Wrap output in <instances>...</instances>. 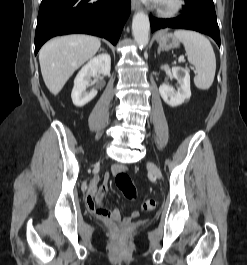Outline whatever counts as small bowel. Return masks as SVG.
Segmentation results:
<instances>
[{"label":"small bowel","mask_w":247,"mask_h":265,"mask_svg":"<svg viewBox=\"0 0 247 265\" xmlns=\"http://www.w3.org/2000/svg\"><path fill=\"white\" fill-rule=\"evenodd\" d=\"M124 170L123 166L115 165L112 168L113 173H118ZM110 180V174L105 173L103 181L99 187L96 184H92L86 195V202L90 210L97 214L102 219L108 221H118L120 220V213L116 209H107L103 206V199L108 192V184ZM139 216L138 211H133L131 218H136Z\"/></svg>","instance_id":"obj_1"}]
</instances>
